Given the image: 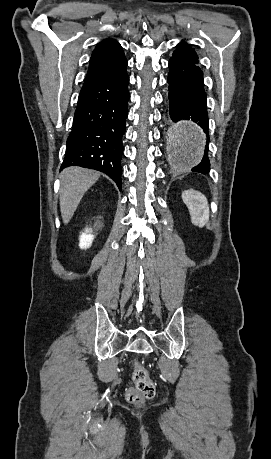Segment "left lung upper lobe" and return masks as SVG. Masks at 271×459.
Wrapping results in <instances>:
<instances>
[{
    "label": "left lung upper lobe",
    "instance_id": "5c2ea615",
    "mask_svg": "<svg viewBox=\"0 0 271 459\" xmlns=\"http://www.w3.org/2000/svg\"><path fill=\"white\" fill-rule=\"evenodd\" d=\"M176 47L177 49L174 51L171 59H179L198 64V56L194 49L188 44L181 42Z\"/></svg>",
    "mask_w": 271,
    "mask_h": 459
}]
</instances>
